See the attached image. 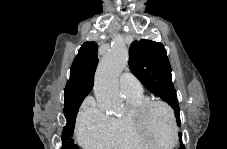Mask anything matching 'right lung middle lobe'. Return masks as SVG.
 I'll use <instances>...</instances> for the list:
<instances>
[{"label": "right lung middle lobe", "mask_w": 227, "mask_h": 149, "mask_svg": "<svg viewBox=\"0 0 227 149\" xmlns=\"http://www.w3.org/2000/svg\"><path fill=\"white\" fill-rule=\"evenodd\" d=\"M83 99L77 102L74 105L64 107L63 112L65 118L67 120V125L64 127L62 132V147L61 149H78V146L74 144L73 132H74V125L76 121V115L78 113V109L82 103Z\"/></svg>", "instance_id": "dd1d6c3e"}]
</instances>
